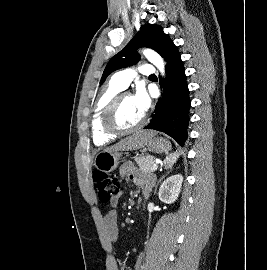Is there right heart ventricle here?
<instances>
[{"label": "right heart ventricle", "instance_id": "right-heart-ventricle-1", "mask_svg": "<svg viewBox=\"0 0 267 270\" xmlns=\"http://www.w3.org/2000/svg\"><path fill=\"white\" fill-rule=\"evenodd\" d=\"M123 89L113 80L101 91L98 96L91 120L92 138L97 146H103L113 141L116 136L107 133L102 124L103 114L111 100Z\"/></svg>", "mask_w": 267, "mask_h": 270}]
</instances>
